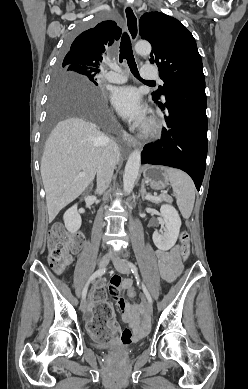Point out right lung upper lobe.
<instances>
[{"mask_svg": "<svg viewBox=\"0 0 248 389\" xmlns=\"http://www.w3.org/2000/svg\"><path fill=\"white\" fill-rule=\"evenodd\" d=\"M121 29L114 21H103L81 33L72 43L63 64L81 66L100 72L102 56L108 46L118 40Z\"/></svg>", "mask_w": 248, "mask_h": 389, "instance_id": "cb5924a9", "label": "right lung upper lobe"}]
</instances>
